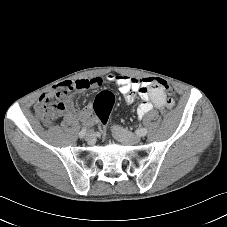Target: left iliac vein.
Instances as JSON below:
<instances>
[{
  "label": "left iliac vein",
  "mask_w": 227,
  "mask_h": 227,
  "mask_svg": "<svg viewBox=\"0 0 227 227\" xmlns=\"http://www.w3.org/2000/svg\"><path fill=\"white\" fill-rule=\"evenodd\" d=\"M113 135L121 143L127 145L137 144L141 140L140 136L135 135L120 126L113 127Z\"/></svg>",
  "instance_id": "obj_1"
}]
</instances>
